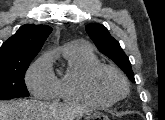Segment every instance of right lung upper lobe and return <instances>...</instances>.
I'll return each mask as SVG.
<instances>
[{"mask_svg":"<svg viewBox=\"0 0 165 120\" xmlns=\"http://www.w3.org/2000/svg\"><path fill=\"white\" fill-rule=\"evenodd\" d=\"M52 28L47 25L26 24L6 40L0 48V62L33 59Z\"/></svg>","mask_w":165,"mask_h":120,"instance_id":"1","label":"right lung upper lobe"}]
</instances>
